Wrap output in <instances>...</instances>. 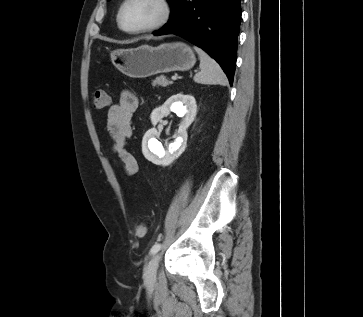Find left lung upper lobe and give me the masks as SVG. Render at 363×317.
Wrapping results in <instances>:
<instances>
[{
    "instance_id": "left-lung-upper-lobe-1",
    "label": "left lung upper lobe",
    "mask_w": 363,
    "mask_h": 317,
    "mask_svg": "<svg viewBox=\"0 0 363 317\" xmlns=\"http://www.w3.org/2000/svg\"><path fill=\"white\" fill-rule=\"evenodd\" d=\"M109 1V0H108ZM170 3L173 1V0H168Z\"/></svg>"
}]
</instances>
